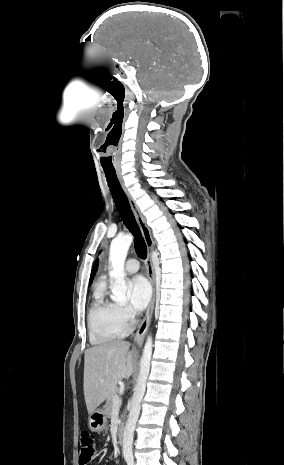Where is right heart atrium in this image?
I'll list each match as a JSON object with an SVG mask.
<instances>
[{
	"label": "right heart atrium",
	"mask_w": 284,
	"mask_h": 465,
	"mask_svg": "<svg viewBox=\"0 0 284 465\" xmlns=\"http://www.w3.org/2000/svg\"><path fill=\"white\" fill-rule=\"evenodd\" d=\"M116 309L124 325H129L133 322V316L126 307L122 305H116Z\"/></svg>",
	"instance_id": "obj_1"
}]
</instances>
